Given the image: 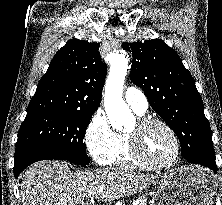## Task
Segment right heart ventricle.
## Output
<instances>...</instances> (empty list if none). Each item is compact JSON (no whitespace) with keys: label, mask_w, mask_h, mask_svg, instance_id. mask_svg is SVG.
<instances>
[{"label":"right heart ventricle","mask_w":222,"mask_h":205,"mask_svg":"<svg viewBox=\"0 0 222 205\" xmlns=\"http://www.w3.org/2000/svg\"><path fill=\"white\" fill-rule=\"evenodd\" d=\"M107 164L112 166H123L131 168H147L145 165L141 164L134 158L127 133L117 134L116 145L112 154L110 155Z\"/></svg>","instance_id":"obj_1"}]
</instances>
